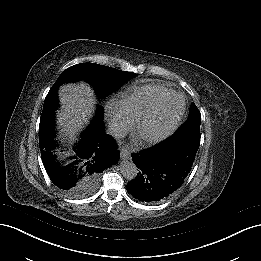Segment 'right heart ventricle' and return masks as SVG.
<instances>
[{
  "label": "right heart ventricle",
  "mask_w": 261,
  "mask_h": 261,
  "mask_svg": "<svg viewBox=\"0 0 261 261\" xmlns=\"http://www.w3.org/2000/svg\"><path fill=\"white\" fill-rule=\"evenodd\" d=\"M173 92L163 84H146L126 93L118 105L127 115L143 116L155 110Z\"/></svg>",
  "instance_id": "1"
}]
</instances>
